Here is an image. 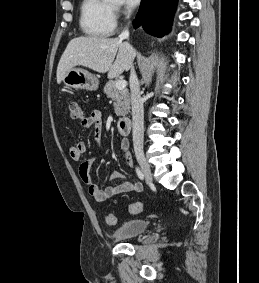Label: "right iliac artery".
Instances as JSON below:
<instances>
[{
    "label": "right iliac artery",
    "instance_id": "1",
    "mask_svg": "<svg viewBox=\"0 0 259 283\" xmlns=\"http://www.w3.org/2000/svg\"><path fill=\"white\" fill-rule=\"evenodd\" d=\"M136 172H137L138 177H139L141 180H143V179H144V174H143V172H142L138 167H136Z\"/></svg>",
    "mask_w": 259,
    "mask_h": 283
}]
</instances>
